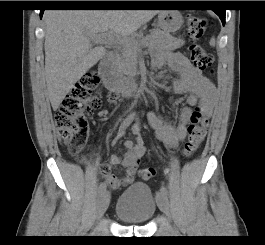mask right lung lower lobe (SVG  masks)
Wrapping results in <instances>:
<instances>
[{"mask_svg":"<svg viewBox=\"0 0 265 245\" xmlns=\"http://www.w3.org/2000/svg\"><path fill=\"white\" fill-rule=\"evenodd\" d=\"M66 6H83V7H115L119 6L120 3L117 1H84L83 3H66L64 4ZM44 13V10H40V17L42 18V15Z\"/></svg>","mask_w":265,"mask_h":245,"instance_id":"obj_1","label":"right lung lower lobe"}]
</instances>
